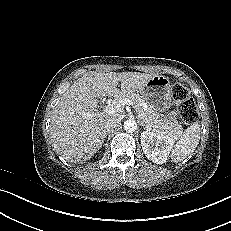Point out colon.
Here are the masks:
<instances>
[{
  "instance_id": "colon-1",
  "label": "colon",
  "mask_w": 231,
  "mask_h": 231,
  "mask_svg": "<svg viewBox=\"0 0 231 231\" xmlns=\"http://www.w3.org/2000/svg\"><path fill=\"white\" fill-rule=\"evenodd\" d=\"M172 97L182 123L189 125L198 118V111L189 90L182 84L176 83L171 88Z\"/></svg>"
}]
</instances>
